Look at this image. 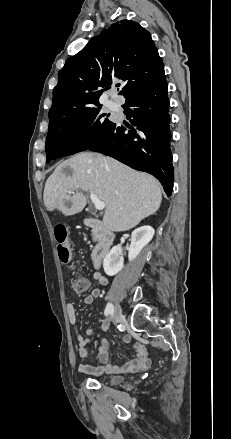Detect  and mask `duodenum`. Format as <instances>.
Listing matches in <instances>:
<instances>
[{
	"instance_id": "1",
	"label": "duodenum",
	"mask_w": 231,
	"mask_h": 439,
	"mask_svg": "<svg viewBox=\"0 0 231 439\" xmlns=\"http://www.w3.org/2000/svg\"><path fill=\"white\" fill-rule=\"evenodd\" d=\"M85 225L93 230L98 238L97 244L91 253L93 266L99 268L104 258L107 256L111 246L113 245L115 235L108 229L105 224L94 218H87Z\"/></svg>"
}]
</instances>
